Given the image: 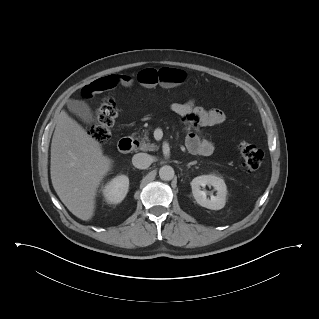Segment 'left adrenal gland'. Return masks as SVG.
I'll use <instances>...</instances> for the list:
<instances>
[{"instance_id":"1","label":"left adrenal gland","mask_w":319,"mask_h":319,"mask_svg":"<svg viewBox=\"0 0 319 319\" xmlns=\"http://www.w3.org/2000/svg\"><path fill=\"white\" fill-rule=\"evenodd\" d=\"M196 163H197L196 161L190 162V163H188L187 167L190 168L191 165H194Z\"/></svg>"}]
</instances>
